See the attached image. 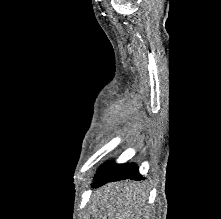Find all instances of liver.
Instances as JSON below:
<instances>
[{
	"label": "liver",
	"instance_id": "6515ba94",
	"mask_svg": "<svg viewBox=\"0 0 221 219\" xmlns=\"http://www.w3.org/2000/svg\"><path fill=\"white\" fill-rule=\"evenodd\" d=\"M146 187L131 180L113 182L92 196L89 207L94 219H149Z\"/></svg>",
	"mask_w": 221,
	"mask_h": 219
}]
</instances>
